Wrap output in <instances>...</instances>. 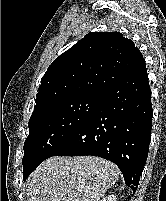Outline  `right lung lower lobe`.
I'll return each mask as SVG.
<instances>
[{
	"label": "right lung lower lobe",
	"mask_w": 166,
	"mask_h": 201,
	"mask_svg": "<svg viewBox=\"0 0 166 201\" xmlns=\"http://www.w3.org/2000/svg\"><path fill=\"white\" fill-rule=\"evenodd\" d=\"M151 90L145 60L109 88L88 118L48 156L92 155L110 160L136 192L152 128Z\"/></svg>",
	"instance_id": "1"
}]
</instances>
